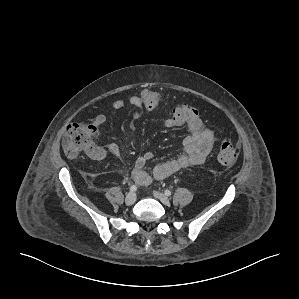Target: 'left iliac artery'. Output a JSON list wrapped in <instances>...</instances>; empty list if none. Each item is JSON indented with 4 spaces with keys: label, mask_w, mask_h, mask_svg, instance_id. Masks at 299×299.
<instances>
[{
    "label": "left iliac artery",
    "mask_w": 299,
    "mask_h": 299,
    "mask_svg": "<svg viewBox=\"0 0 299 299\" xmlns=\"http://www.w3.org/2000/svg\"><path fill=\"white\" fill-rule=\"evenodd\" d=\"M165 195L170 196L171 195V191L170 190H165L164 191Z\"/></svg>",
    "instance_id": "obj_1"
}]
</instances>
